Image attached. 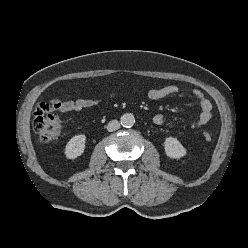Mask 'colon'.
Returning <instances> with one entry per match:
<instances>
[{
    "label": "colon",
    "mask_w": 248,
    "mask_h": 248,
    "mask_svg": "<svg viewBox=\"0 0 248 248\" xmlns=\"http://www.w3.org/2000/svg\"><path fill=\"white\" fill-rule=\"evenodd\" d=\"M113 92H107L112 95ZM100 99V98H99ZM34 130L38 134L41 141L48 143L56 140L61 132V120L57 115L43 114L36 116L34 120ZM203 139L207 142L211 141L212 136L209 132L203 133Z\"/></svg>",
    "instance_id": "colon-1"
}]
</instances>
